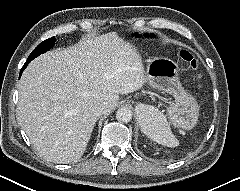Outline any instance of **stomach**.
<instances>
[{
  "label": "stomach",
  "instance_id": "stomach-1",
  "mask_svg": "<svg viewBox=\"0 0 240 191\" xmlns=\"http://www.w3.org/2000/svg\"><path fill=\"white\" fill-rule=\"evenodd\" d=\"M178 73V65L174 61L168 58H154L146 66L145 78L147 84L175 98V102L168 108L169 117L175 126L188 130L197 123L198 104L195 97L182 87ZM146 109L141 107L139 116Z\"/></svg>",
  "mask_w": 240,
  "mask_h": 191
}]
</instances>
